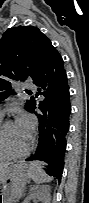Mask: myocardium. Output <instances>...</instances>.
Masks as SVG:
<instances>
[{"instance_id": "myocardium-1", "label": "myocardium", "mask_w": 89, "mask_h": 203, "mask_svg": "<svg viewBox=\"0 0 89 203\" xmlns=\"http://www.w3.org/2000/svg\"><path fill=\"white\" fill-rule=\"evenodd\" d=\"M8 123H9V122L4 123V124L1 126V129H0V143H1V146H2V148H3L4 151H5L4 128H5V125L8 124ZM31 143H32V139L29 138V141H28L26 147H25L22 151H20V152H18V153H13V154H12V153H7V152L5 151V157H7V158H19V157L24 156V155L27 154L28 151L30 150V148H31Z\"/></svg>"}]
</instances>
